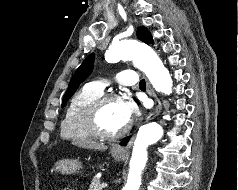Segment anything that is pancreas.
Instances as JSON below:
<instances>
[{"instance_id":"pancreas-1","label":"pancreas","mask_w":238,"mask_h":190,"mask_svg":"<svg viewBox=\"0 0 238 190\" xmlns=\"http://www.w3.org/2000/svg\"><path fill=\"white\" fill-rule=\"evenodd\" d=\"M101 185L102 184H101L100 179L97 177H94L90 184L89 190H102Z\"/></svg>"}]
</instances>
